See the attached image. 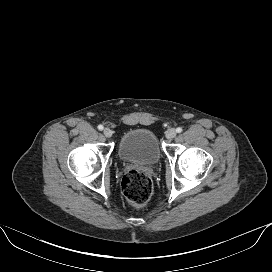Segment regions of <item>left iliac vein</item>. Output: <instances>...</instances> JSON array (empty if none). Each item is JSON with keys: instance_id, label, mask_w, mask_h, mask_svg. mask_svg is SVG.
Listing matches in <instances>:
<instances>
[{"instance_id": "4c4485c4", "label": "left iliac vein", "mask_w": 272, "mask_h": 272, "mask_svg": "<svg viewBox=\"0 0 272 272\" xmlns=\"http://www.w3.org/2000/svg\"><path fill=\"white\" fill-rule=\"evenodd\" d=\"M177 132L175 129L171 128L166 132V137L168 139H173L176 136Z\"/></svg>"}]
</instances>
